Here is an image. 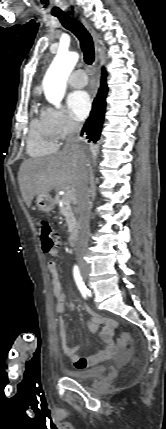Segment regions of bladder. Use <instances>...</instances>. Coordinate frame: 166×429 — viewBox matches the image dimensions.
I'll list each match as a JSON object with an SVG mask.
<instances>
[{"mask_svg": "<svg viewBox=\"0 0 166 429\" xmlns=\"http://www.w3.org/2000/svg\"><path fill=\"white\" fill-rule=\"evenodd\" d=\"M107 371V366H97L88 370H74L69 371L67 375L77 381L85 382L91 379L102 377Z\"/></svg>", "mask_w": 166, "mask_h": 429, "instance_id": "1", "label": "bladder"}]
</instances>
